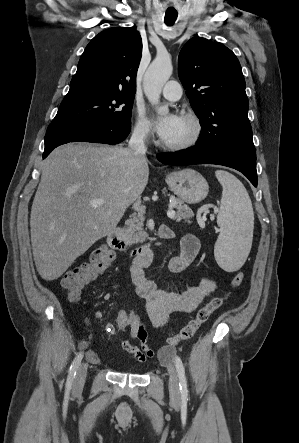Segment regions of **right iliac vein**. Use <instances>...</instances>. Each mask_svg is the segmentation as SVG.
I'll use <instances>...</instances> for the list:
<instances>
[{
	"mask_svg": "<svg viewBox=\"0 0 299 443\" xmlns=\"http://www.w3.org/2000/svg\"><path fill=\"white\" fill-rule=\"evenodd\" d=\"M87 367H88V364L83 363L80 365V367L77 371V375L74 380V387L77 390L81 389L85 383V379H86V375H87Z\"/></svg>",
	"mask_w": 299,
	"mask_h": 443,
	"instance_id": "right-iliac-vein-1",
	"label": "right iliac vein"
}]
</instances>
